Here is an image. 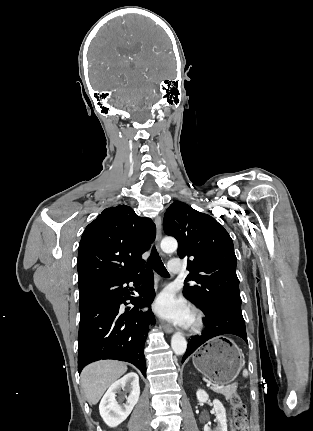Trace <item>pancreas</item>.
I'll use <instances>...</instances> for the list:
<instances>
[{
  "label": "pancreas",
  "instance_id": "pancreas-1",
  "mask_svg": "<svg viewBox=\"0 0 313 431\" xmlns=\"http://www.w3.org/2000/svg\"><path fill=\"white\" fill-rule=\"evenodd\" d=\"M213 390L217 393L224 395L227 400L237 395L236 393L237 387L235 385L228 386V387H215L213 388Z\"/></svg>",
  "mask_w": 313,
  "mask_h": 431
}]
</instances>
